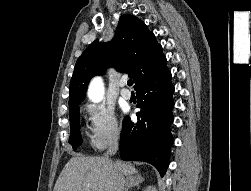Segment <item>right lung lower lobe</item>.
Here are the masks:
<instances>
[{
  "label": "right lung lower lobe",
  "mask_w": 251,
  "mask_h": 191,
  "mask_svg": "<svg viewBox=\"0 0 251 191\" xmlns=\"http://www.w3.org/2000/svg\"><path fill=\"white\" fill-rule=\"evenodd\" d=\"M171 77L169 72L136 90L137 107L141 108L137 113L138 122L133 123L125 117L120 140L123 160L149 162L161 176L169 165L170 146L174 141L170 132L174 107Z\"/></svg>",
  "instance_id": "right-lung-lower-lobe-1"
}]
</instances>
